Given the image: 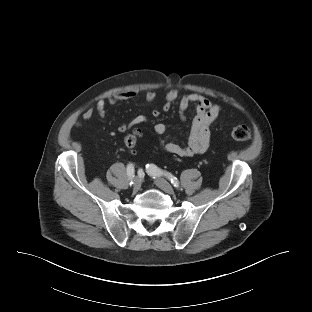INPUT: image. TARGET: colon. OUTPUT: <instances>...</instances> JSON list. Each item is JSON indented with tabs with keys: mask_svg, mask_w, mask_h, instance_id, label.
<instances>
[{
	"mask_svg": "<svg viewBox=\"0 0 312 312\" xmlns=\"http://www.w3.org/2000/svg\"><path fill=\"white\" fill-rule=\"evenodd\" d=\"M231 135L235 140L248 141L252 137V133L249 127L245 125H238L232 128ZM140 136L139 130H133L129 133L124 140L125 146L132 151L137 143L138 137Z\"/></svg>",
	"mask_w": 312,
	"mask_h": 312,
	"instance_id": "1",
	"label": "colon"
}]
</instances>
